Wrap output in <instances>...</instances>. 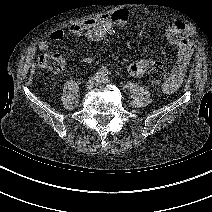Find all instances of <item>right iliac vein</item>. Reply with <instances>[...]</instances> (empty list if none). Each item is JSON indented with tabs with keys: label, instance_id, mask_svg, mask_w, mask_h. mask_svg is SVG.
Wrapping results in <instances>:
<instances>
[{
	"label": "right iliac vein",
	"instance_id": "obj_1",
	"mask_svg": "<svg viewBox=\"0 0 212 212\" xmlns=\"http://www.w3.org/2000/svg\"><path fill=\"white\" fill-rule=\"evenodd\" d=\"M98 81H99L98 77L90 78L85 84V89L91 90L94 87V85H96L98 83Z\"/></svg>",
	"mask_w": 212,
	"mask_h": 212
}]
</instances>
